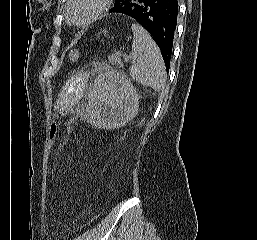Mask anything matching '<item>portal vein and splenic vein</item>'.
Wrapping results in <instances>:
<instances>
[{"instance_id": "portal-vein-and-splenic-vein-1", "label": "portal vein and splenic vein", "mask_w": 257, "mask_h": 240, "mask_svg": "<svg viewBox=\"0 0 257 240\" xmlns=\"http://www.w3.org/2000/svg\"><path fill=\"white\" fill-rule=\"evenodd\" d=\"M124 59H125V61H128V59H129V58H128L127 56H125V58H124Z\"/></svg>"}]
</instances>
